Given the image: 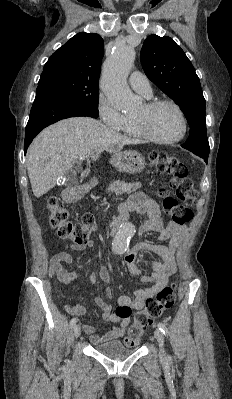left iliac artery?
I'll list each match as a JSON object with an SVG mask.
<instances>
[{"instance_id":"left-iliac-artery-1","label":"left iliac artery","mask_w":232,"mask_h":399,"mask_svg":"<svg viewBox=\"0 0 232 399\" xmlns=\"http://www.w3.org/2000/svg\"><path fill=\"white\" fill-rule=\"evenodd\" d=\"M158 328H159V330H160L165 336H168V335H169V330H168V328L166 327L165 324H163V323H158Z\"/></svg>"}]
</instances>
